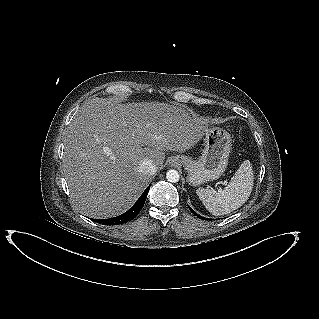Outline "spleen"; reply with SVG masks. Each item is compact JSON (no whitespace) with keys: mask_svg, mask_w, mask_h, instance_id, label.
<instances>
[{"mask_svg":"<svg viewBox=\"0 0 319 319\" xmlns=\"http://www.w3.org/2000/svg\"><path fill=\"white\" fill-rule=\"evenodd\" d=\"M253 179L251 163L245 160L223 190L199 188L196 194L213 215L228 214L248 200L253 189Z\"/></svg>","mask_w":319,"mask_h":319,"instance_id":"spleen-1","label":"spleen"}]
</instances>
